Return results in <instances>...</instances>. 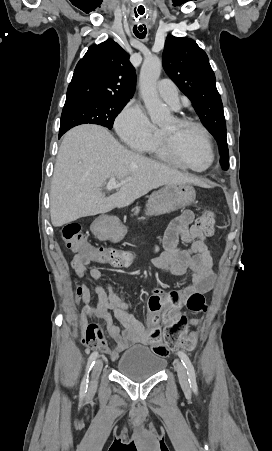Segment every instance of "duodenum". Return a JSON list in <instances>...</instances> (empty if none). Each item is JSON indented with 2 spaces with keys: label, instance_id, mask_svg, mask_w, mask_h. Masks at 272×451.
Segmentation results:
<instances>
[{
  "label": "duodenum",
  "instance_id": "1",
  "mask_svg": "<svg viewBox=\"0 0 272 451\" xmlns=\"http://www.w3.org/2000/svg\"><path fill=\"white\" fill-rule=\"evenodd\" d=\"M92 230L93 233L100 239H107L109 236L106 223L102 219H98L94 222Z\"/></svg>",
  "mask_w": 272,
  "mask_h": 451
}]
</instances>
